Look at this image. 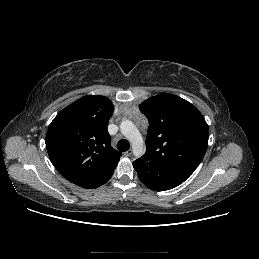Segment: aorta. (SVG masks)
I'll list each match as a JSON object with an SVG mask.
<instances>
[{"label":"aorta","mask_w":259,"mask_h":259,"mask_svg":"<svg viewBox=\"0 0 259 259\" xmlns=\"http://www.w3.org/2000/svg\"><path fill=\"white\" fill-rule=\"evenodd\" d=\"M120 131L130 141L133 154L136 157H141L144 152V141L134 123L130 120H123L120 123Z\"/></svg>","instance_id":"aorta-1"}]
</instances>
